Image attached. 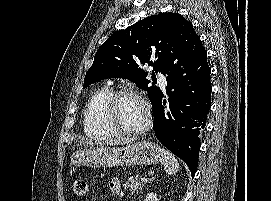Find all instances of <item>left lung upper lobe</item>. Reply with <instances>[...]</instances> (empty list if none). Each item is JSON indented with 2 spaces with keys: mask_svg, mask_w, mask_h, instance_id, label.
I'll return each mask as SVG.
<instances>
[{
  "mask_svg": "<svg viewBox=\"0 0 271 201\" xmlns=\"http://www.w3.org/2000/svg\"><path fill=\"white\" fill-rule=\"evenodd\" d=\"M192 35L197 36L189 21L177 13L167 12L119 30L96 52L94 62L85 75L84 88L106 78L128 79L149 93L154 108L162 92L149 85L150 81L146 79L148 73L141 67L153 65V74H166L175 42Z\"/></svg>",
  "mask_w": 271,
  "mask_h": 201,
  "instance_id": "5c2ea615",
  "label": "left lung upper lobe"
}]
</instances>
